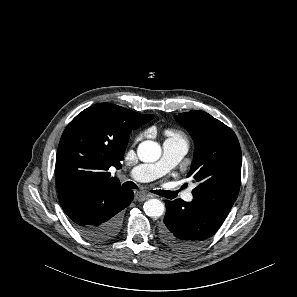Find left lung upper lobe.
<instances>
[{
	"label": "left lung upper lobe",
	"mask_w": 297,
	"mask_h": 297,
	"mask_svg": "<svg viewBox=\"0 0 297 297\" xmlns=\"http://www.w3.org/2000/svg\"><path fill=\"white\" fill-rule=\"evenodd\" d=\"M195 142L187 177L198 183L194 199H237L241 183V149L235 133L210 114L191 110L175 116Z\"/></svg>",
	"instance_id": "1"
}]
</instances>
